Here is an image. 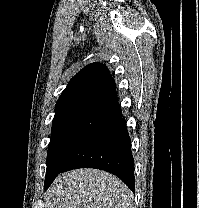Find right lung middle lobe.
I'll use <instances>...</instances> for the list:
<instances>
[{
  "instance_id": "1",
  "label": "right lung middle lobe",
  "mask_w": 199,
  "mask_h": 208,
  "mask_svg": "<svg viewBox=\"0 0 199 208\" xmlns=\"http://www.w3.org/2000/svg\"><path fill=\"white\" fill-rule=\"evenodd\" d=\"M99 111L100 108H82L70 110L54 117L47 153L45 181L61 170Z\"/></svg>"
}]
</instances>
